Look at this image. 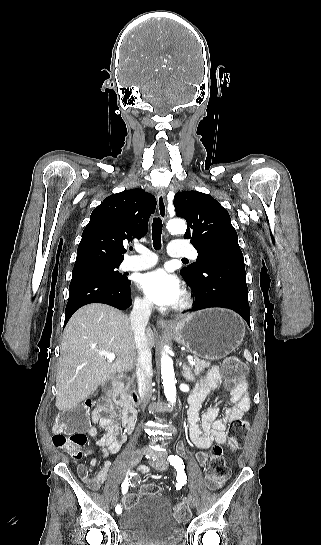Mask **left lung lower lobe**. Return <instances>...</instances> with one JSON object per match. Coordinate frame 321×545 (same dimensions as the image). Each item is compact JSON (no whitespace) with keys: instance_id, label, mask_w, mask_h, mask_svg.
I'll use <instances>...</instances> for the list:
<instances>
[{"instance_id":"left-lung-lower-lobe-1","label":"left lung lower lobe","mask_w":321,"mask_h":545,"mask_svg":"<svg viewBox=\"0 0 321 545\" xmlns=\"http://www.w3.org/2000/svg\"><path fill=\"white\" fill-rule=\"evenodd\" d=\"M194 289L195 304L190 311L211 307L234 310L250 325L246 272L241 249H223L210 253L198 274L185 279Z\"/></svg>"}]
</instances>
